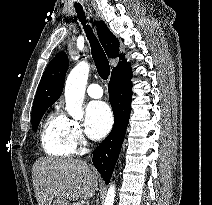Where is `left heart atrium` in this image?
<instances>
[{"label": "left heart atrium", "mask_w": 212, "mask_h": 205, "mask_svg": "<svg viewBox=\"0 0 212 205\" xmlns=\"http://www.w3.org/2000/svg\"><path fill=\"white\" fill-rule=\"evenodd\" d=\"M113 116L110 107L102 101L91 102L86 108L85 130L89 138L97 140L111 129Z\"/></svg>", "instance_id": "obj_1"}]
</instances>
